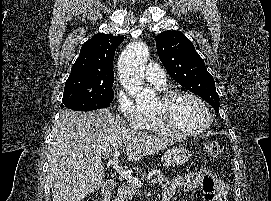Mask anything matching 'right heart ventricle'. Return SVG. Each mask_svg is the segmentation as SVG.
<instances>
[{
    "label": "right heart ventricle",
    "mask_w": 271,
    "mask_h": 201,
    "mask_svg": "<svg viewBox=\"0 0 271 201\" xmlns=\"http://www.w3.org/2000/svg\"><path fill=\"white\" fill-rule=\"evenodd\" d=\"M146 130L148 132L156 133V134H159V135H169L158 125V123L156 122L155 119H152L151 123L146 128Z\"/></svg>",
    "instance_id": "right-heart-ventricle-1"
}]
</instances>
